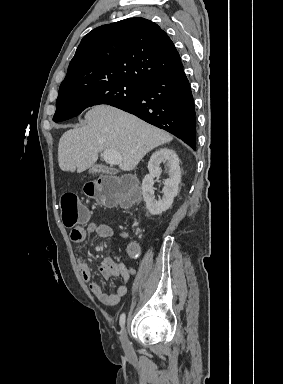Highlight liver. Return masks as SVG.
<instances>
[{
    "mask_svg": "<svg viewBox=\"0 0 283 384\" xmlns=\"http://www.w3.org/2000/svg\"><path fill=\"white\" fill-rule=\"evenodd\" d=\"M85 120L87 126L68 130L59 140L58 162L63 172L92 168L102 150H117L122 156L120 170L130 172L153 148L173 140L168 132L112 106H93Z\"/></svg>",
    "mask_w": 283,
    "mask_h": 384,
    "instance_id": "6515ba94",
    "label": "liver"
}]
</instances>
